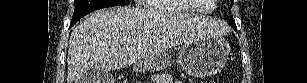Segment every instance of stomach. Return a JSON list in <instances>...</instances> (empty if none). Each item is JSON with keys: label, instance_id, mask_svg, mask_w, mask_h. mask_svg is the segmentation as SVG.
<instances>
[{"label": "stomach", "instance_id": "1", "mask_svg": "<svg viewBox=\"0 0 307 83\" xmlns=\"http://www.w3.org/2000/svg\"><path fill=\"white\" fill-rule=\"evenodd\" d=\"M230 54V46L223 38H197L184 43L179 53V63L183 71L194 77L211 76L225 65ZM170 63L165 54L145 59L141 70L161 71Z\"/></svg>", "mask_w": 307, "mask_h": 83}]
</instances>
